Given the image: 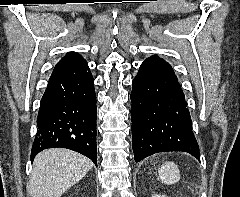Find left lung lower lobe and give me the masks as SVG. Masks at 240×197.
<instances>
[{
	"instance_id": "1",
	"label": "left lung lower lobe",
	"mask_w": 240,
	"mask_h": 197,
	"mask_svg": "<svg viewBox=\"0 0 240 197\" xmlns=\"http://www.w3.org/2000/svg\"><path fill=\"white\" fill-rule=\"evenodd\" d=\"M130 97L135 162L168 151L187 152L200 161L187 102L173 69L140 66Z\"/></svg>"
}]
</instances>
